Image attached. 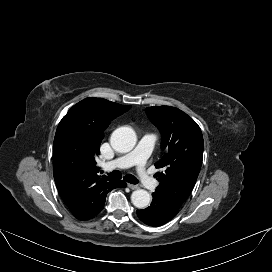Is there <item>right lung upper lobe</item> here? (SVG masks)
I'll list each match as a JSON object with an SVG mask.
<instances>
[{
	"label": "right lung upper lobe",
	"instance_id": "1",
	"mask_svg": "<svg viewBox=\"0 0 272 272\" xmlns=\"http://www.w3.org/2000/svg\"><path fill=\"white\" fill-rule=\"evenodd\" d=\"M131 108L103 98H86L60 121L53 147V173L61 198L81 220L102 208L115 179L98 175L95 157L110 122Z\"/></svg>",
	"mask_w": 272,
	"mask_h": 272
}]
</instances>
